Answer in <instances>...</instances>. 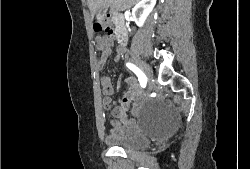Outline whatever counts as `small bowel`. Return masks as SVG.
<instances>
[{"instance_id": "c3829d8e", "label": "small bowel", "mask_w": 250, "mask_h": 169, "mask_svg": "<svg viewBox=\"0 0 250 169\" xmlns=\"http://www.w3.org/2000/svg\"><path fill=\"white\" fill-rule=\"evenodd\" d=\"M96 44L102 54V58L98 61V66H103L110 55L112 44L105 36L97 37ZM121 56V53H118L117 60H120ZM101 84L104 93L103 104L111 110L113 115V121L111 123L113 133L119 135H129L133 133L136 129V122L128 118L126 111L131 105H139L142 102L143 93L138 80L134 76L127 77L126 84L128 88L119 106L112 105L111 97L114 94V88L111 78L109 76L102 77Z\"/></svg>"}]
</instances>
